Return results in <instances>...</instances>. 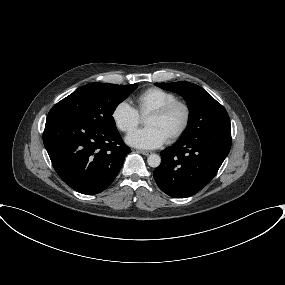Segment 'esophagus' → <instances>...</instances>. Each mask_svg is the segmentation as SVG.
I'll return each instance as SVG.
<instances>
[{"label":"esophagus","mask_w":285,"mask_h":285,"mask_svg":"<svg viewBox=\"0 0 285 285\" xmlns=\"http://www.w3.org/2000/svg\"><path fill=\"white\" fill-rule=\"evenodd\" d=\"M137 152H139V153H141V154H143L145 156H148V155L152 154L151 151H147V150H137Z\"/></svg>","instance_id":"esophagus-1"}]
</instances>
